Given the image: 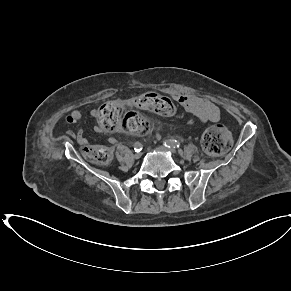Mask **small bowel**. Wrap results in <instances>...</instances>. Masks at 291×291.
<instances>
[{
	"label": "small bowel",
	"instance_id": "1",
	"mask_svg": "<svg viewBox=\"0 0 291 291\" xmlns=\"http://www.w3.org/2000/svg\"><path fill=\"white\" fill-rule=\"evenodd\" d=\"M178 103L184 108L186 112L197 117L201 122H217L220 120V110L218 106L211 100L190 94H181L176 97ZM91 114L94 116L97 114L96 110H92ZM83 114L80 110H72L65 118L64 122L68 125H73L79 122ZM98 131V128H96ZM68 135L75 139L81 146L88 144V140L82 130L77 132L68 131ZM110 143H115L114 138L109 139Z\"/></svg>",
	"mask_w": 291,
	"mask_h": 291
}]
</instances>
